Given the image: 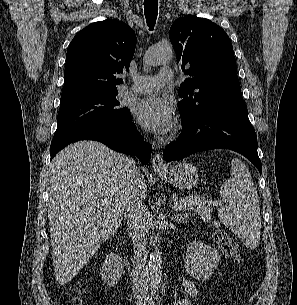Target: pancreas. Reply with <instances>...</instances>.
I'll return each instance as SVG.
<instances>
[{
  "mask_svg": "<svg viewBox=\"0 0 297 305\" xmlns=\"http://www.w3.org/2000/svg\"><path fill=\"white\" fill-rule=\"evenodd\" d=\"M192 198L193 203L189 204L186 203L185 205L182 206V210H194L197 212L203 220L209 218L211 216V202L206 199L205 197H202L200 195H193L190 196ZM187 201V199H184Z\"/></svg>",
  "mask_w": 297,
  "mask_h": 305,
  "instance_id": "obj_1",
  "label": "pancreas"
}]
</instances>
